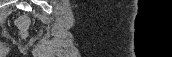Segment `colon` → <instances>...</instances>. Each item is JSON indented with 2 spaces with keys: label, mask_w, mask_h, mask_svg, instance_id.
<instances>
[{
  "label": "colon",
  "mask_w": 172,
  "mask_h": 57,
  "mask_svg": "<svg viewBox=\"0 0 172 57\" xmlns=\"http://www.w3.org/2000/svg\"><path fill=\"white\" fill-rule=\"evenodd\" d=\"M17 25L21 31L26 32L29 27V19L25 16H22L18 19Z\"/></svg>",
  "instance_id": "colon-1"
}]
</instances>
